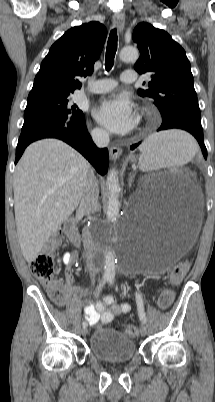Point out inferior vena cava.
Listing matches in <instances>:
<instances>
[{
	"label": "inferior vena cava",
	"mask_w": 215,
	"mask_h": 402,
	"mask_svg": "<svg viewBox=\"0 0 215 402\" xmlns=\"http://www.w3.org/2000/svg\"><path fill=\"white\" fill-rule=\"evenodd\" d=\"M93 140L99 147H106L109 144V133L105 130H97L92 134ZM99 197V187L98 182L94 176L93 171H91L87 177L84 192L81 198L79 211L85 215H90L95 212L98 204ZM83 243L85 249V257L87 268L90 273L92 280L95 279L97 268L95 266L94 260L97 253V246L93 240L87 228L83 230Z\"/></svg>",
	"instance_id": "602c4592"
}]
</instances>
